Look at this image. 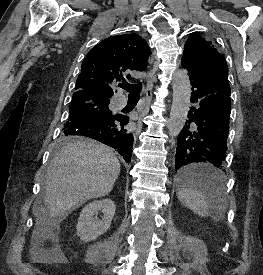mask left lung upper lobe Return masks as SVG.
Listing matches in <instances>:
<instances>
[{
    "instance_id": "1",
    "label": "left lung upper lobe",
    "mask_w": 263,
    "mask_h": 275,
    "mask_svg": "<svg viewBox=\"0 0 263 275\" xmlns=\"http://www.w3.org/2000/svg\"><path fill=\"white\" fill-rule=\"evenodd\" d=\"M187 63L205 67H227L224 56L217 51L212 42L196 33L192 34L185 43L182 65Z\"/></svg>"
}]
</instances>
